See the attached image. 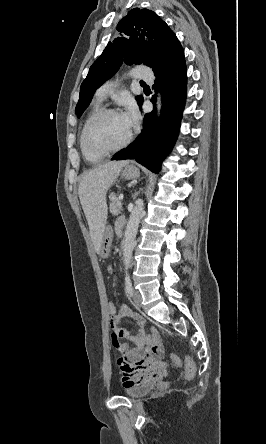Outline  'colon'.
<instances>
[{
  "instance_id": "5ec220e1",
  "label": "colon",
  "mask_w": 266,
  "mask_h": 444,
  "mask_svg": "<svg viewBox=\"0 0 266 444\" xmlns=\"http://www.w3.org/2000/svg\"><path fill=\"white\" fill-rule=\"evenodd\" d=\"M107 310H108V313H109L111 319L117 314L118 309H117L114 301H109L107 303ZM169 359H170V362L173 366H175V367L180 366L181 361L177 355L171 354ZM196 374H197V368H196L195 362L192 360L191 357L185 356V377H186V379L193 380L195 378Z\"/></svg>"
}]
</instances>
